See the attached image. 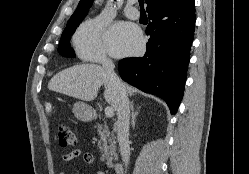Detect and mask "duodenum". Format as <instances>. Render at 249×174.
I'll use <instances>...</instances> for the list:
<instances>
[{"mask_svg": "<svg viewBox=\"0 0 249 174\" xmlns=\"http://www.w3.org/2000/svg\"><path fill=\"white\" fill-rule=\"evenodd\" d=\"M113 171L115 174H124V167L121 164H114Z\"/></svg>", "mask_w": 249, "mask_h": 174, "instance_id": "obj_1", "label": "duodenum"}]
</instances>
